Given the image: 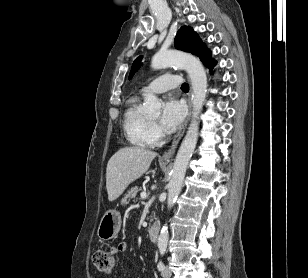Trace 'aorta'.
Segmentation results:
<instances>
[{"mask_svg":"<svg viewBox=\"0 0 308 278\" xmlns=\"http://www.w3.org/2000/svg\"><path fill=\"white\" fill-rule=\"evenodd\" d=\"M169 66H178L185 69L190 77L192 85V120L187 133L177 153L171 179L168 186V209H171L181 192L183 180L188 162L194 152L198 140L199 115L207 93V76L201 62L193 55L180 51H160L155 54L151 61V67L159 70ZM160 100L149 94L145 97L143 111L149 116H158L160 113ZM168 227L164 225L158 238V248L165 250L168 243Z\"/></svg>","mask_w":308,"mask_h":278,"instance_id":"aorta-1","label":"aorta"}]
</instances>
